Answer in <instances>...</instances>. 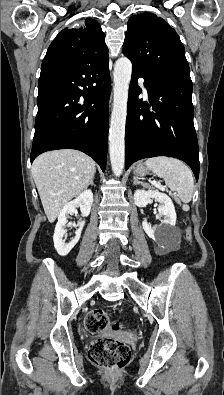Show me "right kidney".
Here are the masks:
<instances>
[{
    "mask_svg": "<svg viewBox=\"0 0 224 395\" xmlns=\"http://www.w3.org/2000/svg\"><path fill=\"white\" fill-rule=\"evenodd\" d=\"M93 203V193L90 189L83 191L76 199L68 202L61 210L58 216V222L55 227L53 241L54 247L60 256H66L73 247L77 244L80 239L81 232L85 225V221H82L79 228L75 231V237L69 243H65L63 240L65 234V227H71V223L67 221V216L73 214L76 211V207H80V211L84 217L90 214L91 206Z\"/></svg>",
    "mask_w": 224,
    "mask_h": 395,
    "instance_id": "1",
    "label": "right kidney"
}]
</instances>
